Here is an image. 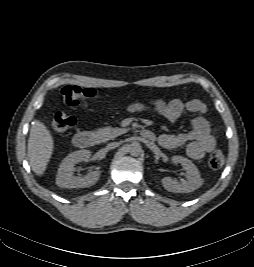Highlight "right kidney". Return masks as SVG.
<instances>
[{
	"label": "right kidney",
	"mask_w": 254,
	"mask_h": 267,
	"mask_svg": "<svg viewBox=\"0 0 254 267\" xmlns=\"http://www.w3.org/2000/svg\"><path fill=\"white\" fill-rule=\"evenodd\" d=\"M91 156L89 150H79L65 157L59 166L56 184L61 188H86L94 185L100 178V171H92L83 177L73 175L74 166L82 161H88Z\"/></svg>",
	"instance_id": "obj_1"
}]
</instances>
